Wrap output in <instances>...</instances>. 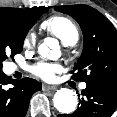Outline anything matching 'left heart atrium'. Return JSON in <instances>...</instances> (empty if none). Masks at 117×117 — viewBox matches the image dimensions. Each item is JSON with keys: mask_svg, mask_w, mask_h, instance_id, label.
I'll use <instances>...</instances> for the list:
<instances>
[{"mask_svg": "<svg viewBox=\"0 0 117 117\" xmlns=\"http://www.w3.org/2000/svg\"><path fill=\"white\" fill-rule=\"evenodd\" d=\"M61 70L62 65L58 62L39 61L31 67V73L44 81H52Z\"/></svg>", "mask_w": 117, "mask_h": 117, "instance_id": "obj_1", "label": "left heart atrium"}]
</instances>
